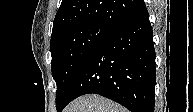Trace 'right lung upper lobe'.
Wrapping results in <instances>:
<instances>
[{"mask_svg": "<svg viewBox=\"0 0 193 112\" xmlns=\"http://www.w3.org/2000/svg\"><path fill=\"white\" fill-rule=\"evenodd\" d=\"M145 8L143 0H62L51 36L65 28L86 23L114 29Z\"/></svg>", "mask_w": 193, "mask_h": 112, "instance_id": "obj_1", "label": "right lung upper lobe"}]
</instances>
